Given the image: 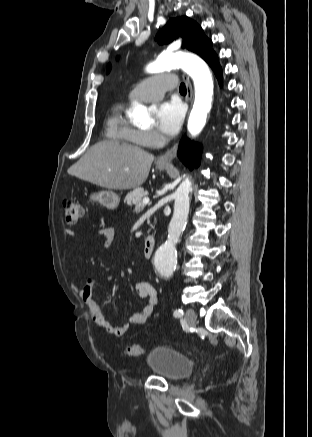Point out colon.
I'll return each instance as SVG.
<instances>
[{
    "label": "colon",
    "instance_id": "colon-1",
    "mask_svg": "<svg viewBox=\"0 0 312 437\" xmlns=\"http://www.w3.org/2000/svg\"><path fill=\"white\" fill-rule=\"evenodd\" d=\"M64 218L68 224H76L84 215L83 205L73 199L67 198L62 202ZM142 353L138 344H132L126 347L125 354L128 356H139Z\"/></svg>",
    "mask_w": 312,
    "mask_h": 437
}]
</instances>
